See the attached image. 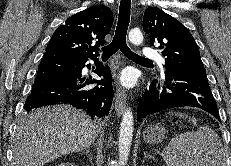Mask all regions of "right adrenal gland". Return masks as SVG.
<instances>
[{
	"instance_id": "2a0ac1e0",
	"label": "right adrenal gland",
	"mask_w": 231,
	"mask_h": 166,
	"mask_svg": "<svg viewBox=\"0 0 231 166\" xmlns=\"http://www.w3.org/2000/svg\"><path fill=\"white\" fill-rule=\"evenodd\" d=\"M82 154H86L89 157L90 163H92V157L90 153V148H87Z\"/></svg>"
}]
</instances>
